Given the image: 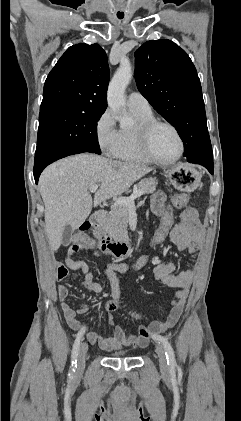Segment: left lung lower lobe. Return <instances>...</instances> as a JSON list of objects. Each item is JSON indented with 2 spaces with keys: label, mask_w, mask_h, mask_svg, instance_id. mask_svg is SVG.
<instances>
[{
  "label": "left lung lower lobe",
  "mask_w": 241,
  "mask_h": 421,
  "mask_svg": "<svg viewBox=\"0 0 241 421\" xmlns=\"http://www.w3.org/2000/svg\"><path fill=\"white\" fill-rule=\"evenodd\" d=\"M189 162L192 163H199L201 165H203L204 167H206L208 169V171L213 174V160L208 161V160H188Z\"/></svg>",
  "instance_id": "left-lung-lower-lobe-1"
}]
</instances>
